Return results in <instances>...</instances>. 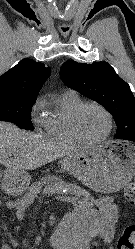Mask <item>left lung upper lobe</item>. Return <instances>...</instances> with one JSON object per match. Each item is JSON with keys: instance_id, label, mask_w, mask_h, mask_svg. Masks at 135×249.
I'll return each instance as SVG.
<instances>
[{"instance_id": "left-lung-upper-lobe-1", "label": "left lung upper lobe", "mask_w": 135, "mask_h": 249, "mask_svg": "<svg viewBox=\"0 0 135 249\" xmlns=\"http://www.w3.org/2000/svg\"><path fill=\"white\" fill-rule=\"evenodd\" d=\"M61 77L66 86L101 103L113 115L116 139L135 138V97L107 62L67 61L61 67Z\"/></svg>"}]
</instances>
